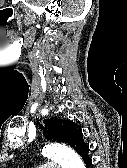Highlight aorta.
<instances>
[{
    "label": "aorta",
    "instance_id": "1",
    "mask_svg": "<svg viewBox=\"0 0 127 168\" xmlns=\"http://www.w3.org/2000/svg\"><path fill=\"white\" fill-rule=\"evenodd\" d=\"M42 155L57 162L62 168H85L80 156L73 149L59 143L46 145Z\"/></svg>",
    "mask_w": 127,
    "mask_h": 168
}]
</instances>
